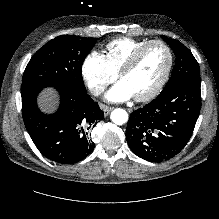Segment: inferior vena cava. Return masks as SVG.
Wrapping results in <instances>:
<instances>
[{
    "label": "inferior vena cava",
    "instance_id": "obj_1",
    "mask_svg": "<svg viewBox=\"0 0 219 219\" xmlns=\"http://www.w3.org/2000/svg\"><path fill=\"white\" fill-rule=\"evenodd\" d=\"M102 91H103V88L98 86V87L95 89V94L98 95V94H100Z\"/></svg>",
    "mask_w": 219,
    "mask_h": 219
}]
</instances>
